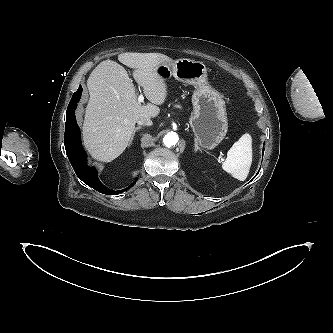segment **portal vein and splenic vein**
<instances>
[{
	"instance_id": "portal-vein-and-splenic-vein-1",
	"label": "portal vein and splenic vein",
	"mask_w": 333,
	"mask_h": 333,
	"mask_svg": "<svg viewBox=\"0 0 333 333\" xmlns=\"http://www.w3.org/2000/svg\"><path fill=\"white\" fill-rule=\"evenodd\" d=\"M143 100H144V96H143V94H140L138 97V102L141 103V102H143Z\"/></svg>"
}]
</instances>
